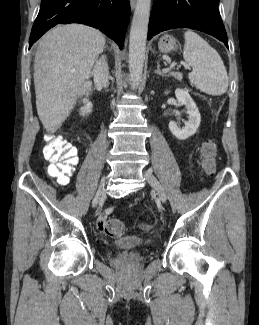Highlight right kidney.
Segmentation results:
<instances>
[{
	"label": "right kidney",
	"mask_w": 259,
	"mask_h": 325,
	"mask_svg": "<svg viewBox=\"0 0 259 325\" xmlns=\"http://www.w3.org/2000/svg\"><path fill=\"white\" fill-rule=\"evenodd\" d=\"M84 106L80 108V115L85 116L92 112V103L88 99H83Z\"/></svg>",
	"instance_id": "1"
}]
</instances>
